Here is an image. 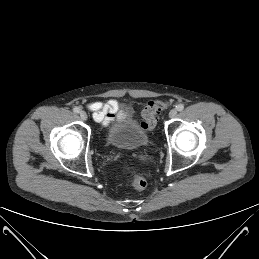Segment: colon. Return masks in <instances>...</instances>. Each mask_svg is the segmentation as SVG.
I'll use <instances>...</instances> for the list:
<instances>
[{
	"label": "colon",
	"mask_w": 259,
	"mask_h": 259,
	"mask_svg": "<svg viewBox=\"0 0 259 259\" xmlns=\"http://www.w3.org/2000/svg\"><path fill=\"white\" fill-rule=\"evenodd\" d=\"M169 106V102L162 100H151L149 101L142 111V127L146 131H151L156 126V115ZM127 177L129 185L135 190H143L146 187L145 179L132 172L129 168H127Z\"/></svg>",
	"instance_id": "colon-1"
}]
</instances>
